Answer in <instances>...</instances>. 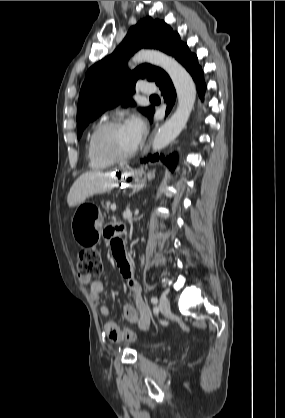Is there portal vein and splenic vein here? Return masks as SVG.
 Listing matches in <instances>:
<instances>
[{
	"label": "portal vein and splenic vein",
	"mask_w": 285,
	"mask_h": 418,
	"mask_svg": "<svg viewBox=\"0 0 285 418\" xmlns=\"http://www.w3.org/2000/svg\"><path fill=\"white\" fill-rule=\"evenodd\" d=\"M111 210H112V211H115V210H116V204H115V203H112V204H111Z\"/></svg>",
	"instance_id": "1"
}]
</instances>
